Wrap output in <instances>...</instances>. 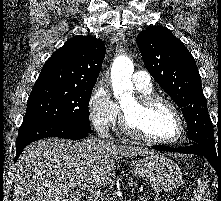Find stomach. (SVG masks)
Here are the masks:
<instances>
[{
    "instance_id": "1",
    "label": "stomach",
    "mask_w": 221,
    "mask_h": 201,
    "mask_svg": "<svg viewBox=\"0 0 221 201\" xmlns=\"http://www.w3.org/2000/svg\"><path fill=\"white\" fill-rule=\"evenodd\" d=\"M131 169L159 192H170L182 183L178 165L162 153L152 152L133 161Z\"/></svg>"
}]
</instances>
